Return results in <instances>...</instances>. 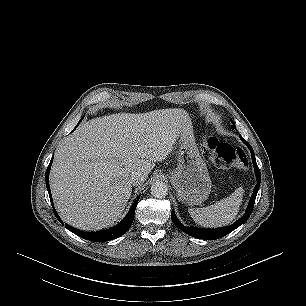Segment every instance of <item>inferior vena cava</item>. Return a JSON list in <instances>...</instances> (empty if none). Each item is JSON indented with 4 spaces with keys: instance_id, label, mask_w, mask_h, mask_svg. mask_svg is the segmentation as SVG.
Segmentation results:
<instances>
[{
    "instance_id": "inferior-vena-cava-1",
    "label": "inferior vena cava",
    "mask_w": 306,
    "mask_h": 306,
    "mask_svg": "<svg viewBox=\"0 0 306 306\" xmlns=\"http://www.w3.org/2000/svg\"><path fill=\"white\" fill-rule=\"evenodd\" d=\"M146 180L145 175L140 171H135L130 174L129 181L132 185H140Z\"/></svg>"
}]
</instances>
